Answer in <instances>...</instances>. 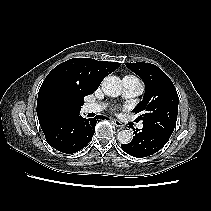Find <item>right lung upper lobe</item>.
Wrapping results in <instances>:
<instances>
[{
  "mask_svg": "<svg viewBox=\"0 0 211 211\" xmlns=\"http://www.w3.org/2000/svg\"><path fill=\"white\" fill-rule=\"evenodd\" d=\"M119 66L120 63L117 62L97 61L91 58H73L56 66L47 75L39 90V123L60 111L74 110L55 103L54 96L63 95L71 107L83 105V98L93 94L102 80Z\"/></svg>",
  "mask_w": 211,
  "mask_h": 211,
  "instance_id": "1",
  "label": "right lung upper lobe"
}]
</instances>
